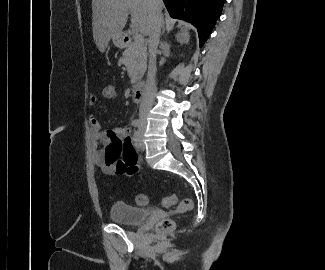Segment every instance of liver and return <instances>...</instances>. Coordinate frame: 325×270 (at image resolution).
Returning a JSON list of instances; mask_svg holds the SVG:
<instances>
[{"label":"liver","mask_w":325,"mask_h":270,"mask_svg":"<svg viewBox=\"0 0 325 270\" xmlns=\"http://www.w3.org/2000/svg\"><path fill=\"white\" fill-rule=\"evenodd\" d=\"M131 29L149 35L151 8L148 0H92L93 38L100 52L110 39L122 33L128 15Z\"/></svg>","instance_id":"6515ba94"}]
</instances>
